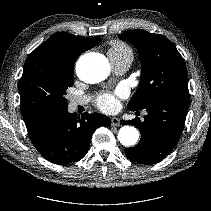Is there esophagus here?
<instances>
[{
	"instance_id": "1",
	"label": "esophagus",
	"mask_w": 211,
	"mask_h": 211,
	"mask_svg": "<svg viewBox=\"0 0 211 211\" xmlns=\"http://www.w3.org/2000/svg\"><path fill=\"white\" fill-rule=\"evenodd\" d=\"M111 124H112V126H116V127L120 126V120L116 117H112L111 118Z\"/></svg>"
}]
</instances>
